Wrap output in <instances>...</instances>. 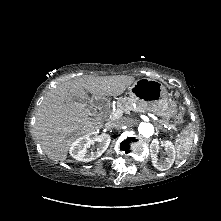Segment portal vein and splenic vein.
I'll use <instances>...</instances> for the list:
<instances>
[{"label": "portal vein and splenic vein", "instance_id": "obj_1", "mask_svg": "<svg viewBox=\"0 0 221 221\" xmlns=\"http://www.w3.org/2000/svg\"><path fill=\"white\" fill-rule=\"evenodd\" d=\"M122 113L123 111H121L120 109L116 110V111H113L111 114H110V119L111 120H114V119H118L122 116ZM154 120H157V118H155L154 116H151ZM165 128H167L168 130L170 128H168L166 125H164Z\"/></svg>", "mask_w": 221, "mask_h": 221}]
</instances>
